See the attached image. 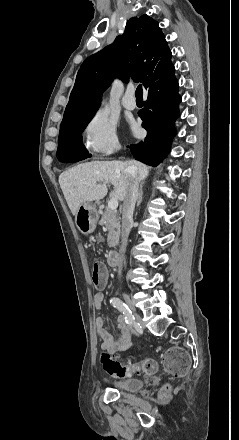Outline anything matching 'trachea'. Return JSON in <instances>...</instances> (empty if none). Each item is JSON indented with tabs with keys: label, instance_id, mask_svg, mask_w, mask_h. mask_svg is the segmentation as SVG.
I'll list each match as a JSON object with an SVG mask.
<instances>
[{
	"label": "trachea",
	"instance_id": "obj_1",
	"mask_svg": "<svg viewBox=\"0 0 239 440\" xmlns=\"http://www.w3.org/2000/svg\"><path fill=\"white\" fill-rule=\"evenodd\" d=\"M136 99H142L143 98V89L142 85H138L135 92Z\"/></svg>",
	"mask_w": 239,
	"mask_h": 440
}]
</instances>
